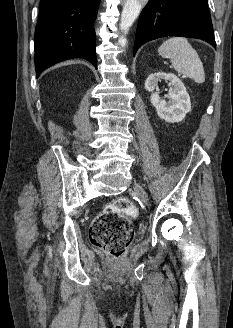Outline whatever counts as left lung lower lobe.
<instances>
[{"label":"left lung lower lobe","instance_id":"0a47b994","mask_svg":"<svg viewBox=\"0 0 233 328\" xmlns=\"http://www.w3.org/2000/svg\"><path fill=\"white\" fill-rule=\"evenodd\" d=\"M172 35L216 47L207 0H149L138 21L133 56L143 43Z\"/></svg>","mask_w":233,"mask_h":328}]
</instances>
